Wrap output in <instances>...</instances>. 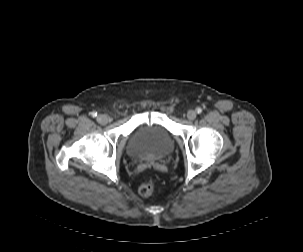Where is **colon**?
Listing matches in <instances>:
<instances>
[{
    "mask_svg": "<svg viewBox=\"0 0 303 252\" xmlns=\"http://www.w3.org/2000/svg\"><path fill=\"white\" fill-rule=\"evenodd\" d=\"M139 191L142 196L149 197L155 193L156 184L152 179L147 180L141 184Z\"/></svg>",
    "mask_w": 303,
    "mask_h": 252,
    "instance_id": "5ec220e1",
    "label": "colon"
}]
</instances>
